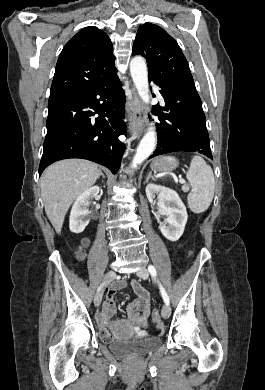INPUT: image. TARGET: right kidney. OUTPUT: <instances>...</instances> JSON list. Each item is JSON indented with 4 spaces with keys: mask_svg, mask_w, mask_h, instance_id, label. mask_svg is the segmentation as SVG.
Wrapping results in <instances>:
<instances>
[{
    "mask_svg": "<svg viewBox=\"0 0 265 390\" xmlns=\"http://www.w3.org/2000/svg\"><path fill=\"white\" fill-rule=\"evenodd\" d=\"M98 193L99 187L93 186L77 197L70 213L69 228L71 232L81 233L89 224L87 216L90 214V211L87 207L90 204V199L96 197Z\"/></svg>",
    "mask_w": 265,
    "mask_h": 390,
    "instance_id": "ca27d5eb",
    "label": "right kidney"
}]
</instances>
